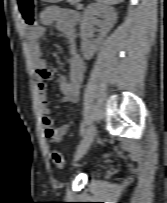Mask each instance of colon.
<instances>
[{"label": "colon", "mask_w": 167, "mask_h": 203, "mask_svg": "<svg viewBox=\"0 0 167 203\" xmlns=\"http://www.w3.org/2000/svg\"><path fill=\"white\" fill-rule=\"evenodd\" d=\"M18 11L22 21L24 22L27 29L32 32H36L38 27L35 21V1L34 0H17ZM111 154L105 153L102 158H109ZM51 158L54 164L58 168H62L65 165L64 157L58 150H53L51 153Z\"/></svg>", "instance_id": "1"}]
</instances>
